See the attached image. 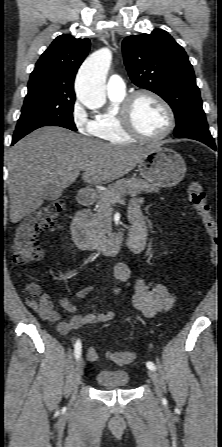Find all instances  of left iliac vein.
<instances>
[{
    "instance_id": "left-iliac-vein-1",
    "label": "left iliac vein",
    "mask_w": 222,
    "mask_h": 447,
    "mask_svg": "<svg viewBox=\"0 0 222 447\" xmlns=\"http://www.w3.org/2000/svg\"><path fill=\"white\" fill-rule=\"evenodd\" d=\"M147 373H148V376L150 377V379L152 380L157 398L161 399L162 398V389H161L160 380H159L157 374L153 370H148Z\"/></svg>"
}]
</instances>
